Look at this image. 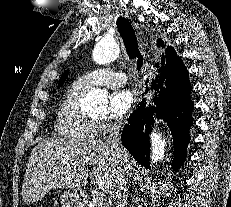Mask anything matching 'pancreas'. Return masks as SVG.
Returning <instances> with one entry per match:
<instances>
[{"mask_svg":"<svg viewBox=\"0 0 231 207\" xmlns=\"http://www.w3.org/2000/svg\"><path fill=\"white\" fill-rule=\"evenodd\" d=\"M85 207H106V205L99 200L92 199L85 205Z\"/></svg>","mask_w":231,"mask_h":207,"instance_id":"pancreas-1","label":"pancreas"}]
</instances>
